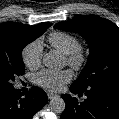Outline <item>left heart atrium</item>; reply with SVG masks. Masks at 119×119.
Returning a JSON list of instances; mask_svg holds the SVG:
<instances>
[{
	"label": "left heart atrium",
	"instance_id": "1",
	"mask_svg": "<svg viewBox=\"0 0 119 119\" xmlns=\"http://www.w3.org/2000/svg\"><path fill=\"white\" fill-rule=\"evenodd\" d=\"M71 78L72 74L68 70L42 69L33 76V80L37 85L50 91L60 90Z\"/></svg>",
	"mask_w": 119,
	"mask_h": 119
}]
</instances>
